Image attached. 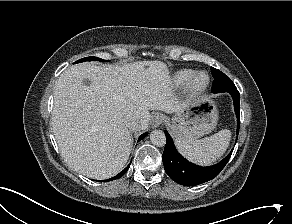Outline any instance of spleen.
<instances>
[{"mask_svg":"<svg viewBox=\"0 0 292 224\" xmlns=\"http://www.w3.org/2000/svg\"><path fill=\"white\" fill-rule=\"evenodd\" d=\"M231 131L223 129L209 138L201 140L177 138L175 144L180 153L190 161L200 165H210L227 150Z\"/></svg>","mask_w":292,"mask_h":224,"instance_id":"3e777b00","label":"spleen"}]
</instances>
